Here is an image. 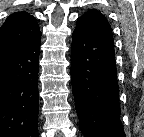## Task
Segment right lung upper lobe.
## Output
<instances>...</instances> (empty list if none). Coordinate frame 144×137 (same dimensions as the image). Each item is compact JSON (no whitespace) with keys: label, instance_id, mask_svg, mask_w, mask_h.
Segmentation results:
<instances>
[{"label":"right lung upper lobe","instance_id":"right-lung-upper-lobe-1","mask_svg":"<svg viewBox=\"0 0 144 137\" xmlns=\"http://www.w3.org/2000/svg\"><path fill=\"white\" fill-rule=\"evenodd\" d=\"M40 33L36 19L27 12L11 14L0 30V55L25 45Z\"/></svg>","mask_w":144,"mask_h":137}]
</instances>
